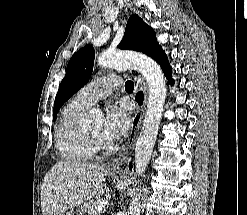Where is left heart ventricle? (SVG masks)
<instances>
[{
    "label": "left heart ventricle",
    "mask_w": 247,
    "mask_h": 215,
    "mask_svg": "<svg viewBox=\"0 0 247 215\" xmlns=\"http://www.w3.org/2000/svg\"><path fill=\"white\" fill-rule=\"evenodd\" d=\"M89 132L93 133V134H97V135H101L102 134V124H96L93 127H91L90 129H88Z\"/></svg>",
    "instance_id": "obj_1"
}]
</instances>
